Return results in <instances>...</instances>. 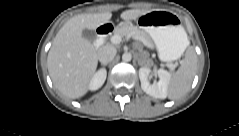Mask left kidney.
Instances as JSON below:
<instances>
[{"mask_svg":"<svg viewBox=\"0 0 239 136\" xmlns=\"http://www.w3.org/2000/svg\"><path fill=\"white\" fill-rule=\"evenodd\" d=\"M150 72L151 69L148 67H141L139 69V78L141 81L142 90L152 97L165 99L168 94V86L171 80V74L164 69H159L157 71L159 81L150 84L148 80Z\"/></svg>","mask_w":239,"mask_h":136,"instance_id":"left-kidney-1","label":"left kidney"}]
</instances>
